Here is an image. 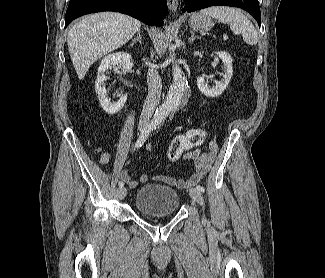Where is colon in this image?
<instances>
[{"mask_svg": "<svg viewBox=\"0 0 325 278\" xmlns=\"http://www.w3.org/2000/svg\"><path fill=\"white\" fill-rule=\"evenodd\" d=\"M206 138L203 129L193 128L188 135L181 134L176 136L168 146L167 158L171 162H175L186 151L201 145Z\"/></svg>", "mask_w": 325, "mask_h": 278, "instance_id": "1", "label": "colon"}]
</instances>
